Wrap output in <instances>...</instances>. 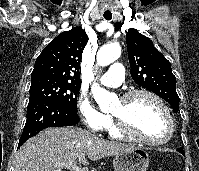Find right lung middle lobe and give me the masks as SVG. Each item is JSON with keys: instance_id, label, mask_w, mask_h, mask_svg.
I'll use <instances>...</instances> for the list:
<instances>
[{"instance_id": "right-lung-middle-lobe-1", "label": "right lung middle lobe", "mask_w": 199, "mask_h": 171, "mask_svg": "<svg viewBox=\"0 0 199 171\" xmlns=\"http://www.w3.org/2000/svg\"><path fill=\"white\" fill-rule=\"evenodd\" d=\"M80 86L78 83L49 77L31 78L30 100L38 97L53 99L76 112Z\"/></svg>"}]
</instances>
